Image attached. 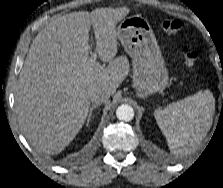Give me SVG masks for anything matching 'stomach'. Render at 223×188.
<instances>
[{
	"label": "stomach",
	"mask_w": 223,
	"mask_h": 188,
	"mask_svg": "<svg viewBox=\"0 0 223 188\" xmlns=\"http://www.w3.org/2000/svg\"><path fill=\"white\" fill-rule=\"evenodd\" d=\"M116 32L120 43L132 58L133 86L137 96L146 98L162 92L168 85L169 77L148 21L139 15L124 18Z\"/></svg>",
	"instance_id": "1"
}]
</instances>
